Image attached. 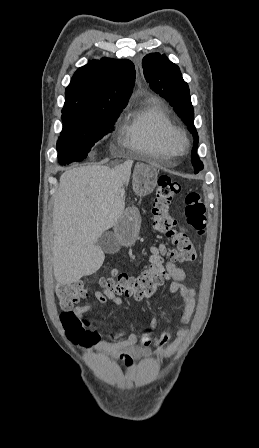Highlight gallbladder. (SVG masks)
Returning <instances> with one entry per match:
<instances>
[{"mask_svg": "<svg viewBox=\"0 0 259 448\" xmlns=\"http://www.w3.org/2000/svg\"><path fill=\"white\" fill-rule=\"evenodd\" d=\"M95 244L96 248H99V250L105 252V254H116L121 248V244L118 242L113 232H104Z\"/></svg>", "mask_w": 259, "mask_h": 448, "instance_id": "obj_1", "label": "gallbladder"}]
</instances>
